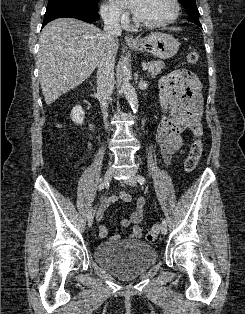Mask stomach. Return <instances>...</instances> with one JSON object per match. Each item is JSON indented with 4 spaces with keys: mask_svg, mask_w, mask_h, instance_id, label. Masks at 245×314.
I'll list each match as a JSON object with an SVG mask.
<instances>
[{
    "mask_svg": "<svg viewBox=\"0 0 245 314\" xmlns=\"http://www.w3.org/2000/svg\"><path fill=\"white\" fill-rule=\"evenodd\" d=\"M136 51L148 52L160 59H169L179 50V42L172 35L155 32L130 45Z\"/></svg>",
    "mask_w": 245,
    "mask_h": 314,
    "instance_id": "obj_1",
    "label": "stomach"
}]
</instances>
